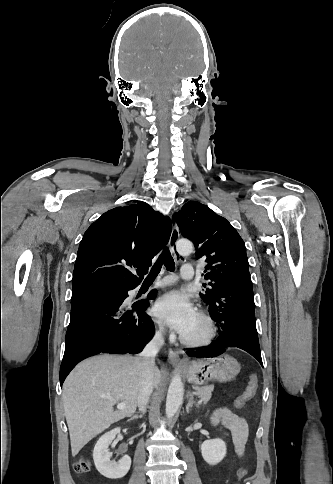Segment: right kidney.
I'll return each instance as SVG.
<instances>
[{"label": "right kidney", "mask_w": 333, "mask_h": 484, "mask_svg": "<svg viewBox=\"0 0 333 484\" xmlns=\"http://www.w3.org/2000/svg\"><path fill=\"white\" fill-rule=\"evenodd\" d=\"M118 433H120V428H115L105 433L97 441L93 451V459L97 470L109 479H120L124 477L131 466V458L127 455L122 457L118 462L110 460L112 454L109 451V445Z\"/></svg>", "instance_id": "ca27d5eb"}]
</instances>
